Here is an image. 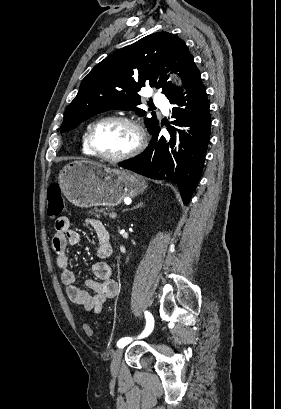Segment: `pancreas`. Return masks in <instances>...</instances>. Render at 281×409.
Segmentation results:
<instances>
[{
  "instance_id": "obj_1",
  "label": "pancreas",
  "mask_w": 281,
  "mask_h": 409,
  "mask_svg": "<svg viewBox=\"0 0 281 409\" xmlns=\"http://www.w3.org/2000/svg\"><path fill=\"white\" fill-rule=\"evenodd\" d=\"M100 213H104V215H109V213H105L104 209H96L95 213H92V215H95L97 219L101 217Z\"/></svg>"
}]
</instances>
